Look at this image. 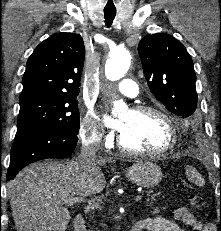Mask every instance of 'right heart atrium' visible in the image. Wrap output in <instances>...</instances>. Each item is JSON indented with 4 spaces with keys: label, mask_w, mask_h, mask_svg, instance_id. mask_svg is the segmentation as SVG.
Returning a JSON list of instances; mask_svg holds the SVG:
<instances>
[{
    "label": "right heart atrium",
    "mask_w": 221,
    "mask_h": 231,
    "mask_svg": "<svg viewBox=\"0 0 221 231\" xmlns=\"http://www.w3.org/2000/svg\"><path fill=\"white\" fill-rule=\"evenodd\" d=\"M79 136L85 143L99 146L103 142V133L99 128L98 117L92 111H88L80 124ZM110 136H107V141Z\"/></svg>",
    "instance_id": "obj_1"
}]
</instances>
